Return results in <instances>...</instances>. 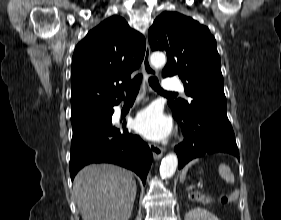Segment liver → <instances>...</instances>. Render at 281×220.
<instances>
[{
	"mask_svg": "<svg viewBox=\"0 0 281 220\" xmlns=\"http://www.w3.org/2000/svg\"><path fill=\"white\" fill-rule=\"evenodd\" d=\"M136 190L132 173L111 164L88 165L73 183L83 220H129Z\"/></svg>",
	"mask_w": 281,
	"mask_h": 220,
	"instance_id": "6515ba94",
	"label": "liver"
}]
</instances>
